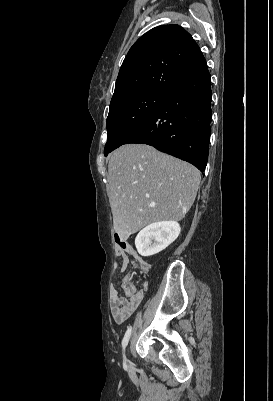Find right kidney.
<instances>
[{
  "mask_svg": "<svg viewBox=\"0 0 273 401\" xmlns=\"http://www.w3.org/2000/svg\"><path fill=\"white\" fill-rule=\"evenodd\" d=\"M180 225L176 221H159L151 223L138 233L135 247L142 257H151L171 245L180 235Z\"/></svg>",
  "mask_w": 273,
  "mask_h": 401,
  "instance_id": "obj_1",
  "label": "right kidney"
}]
</instances>
